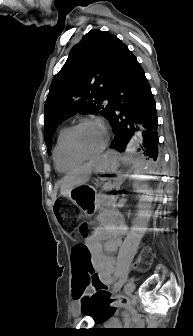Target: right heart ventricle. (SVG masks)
Wrapping results in <instances>:
<instances>
[{
	"label": "right heart ventricle",
	"instance_id": "1",
	"mask_svg": "<svg viewBox=\"0 0 193 336\" xmlns=\"http://www.w3.org/2000/svg\"><path fill=\"white\" fill-rule=\"evenodd\" d=\"M70 127H62L57 134L53 149V160L56 169L61 173H69L77 169L85 160L72 155L67 147V135Z\"/></svg>",
	"mask_w": 193,
	"mask_h": 336
}]
</instances>
